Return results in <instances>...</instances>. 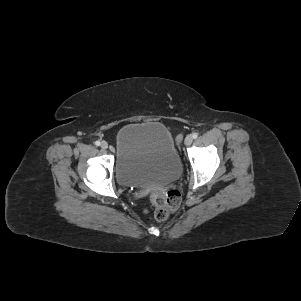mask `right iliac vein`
I'll list each match as a JSON object with an SVG mask.
<instances>
[{"instance_id": "right-iliac-vein-1", "label": "right iliac vein", "mask_w": 301, "mask_h": 301, "mask_svg": "<svg viewBox=\"0 0 301 301\" xmlns=\"http://www.w3.org/2000/svg\"><path fill=\"white\" fill-rule=\"evenodd\" d=\"M101 148L102 149H107L108 148V143L106 141L101 142Z\"/></svg>"}]
</instances>
